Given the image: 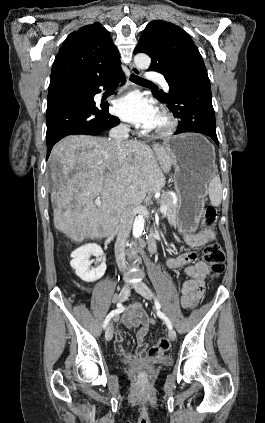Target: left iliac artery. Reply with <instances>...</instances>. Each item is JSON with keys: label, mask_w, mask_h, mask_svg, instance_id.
<instances>
[{"label": "left iliac artery", "mask_w": 265, "mask_h": 423, "mask_svg": "<svg viewBox=\"0 0 265 423\" xmlns=\"http://www.w3.org/2000/svg\"><path fill=\"white\" fill-rule=\"evenodd\" d=\"M155 306H156V309H157L158 316L166 323V325L169 329H172L173 328L172 323L168 319V317L163 312L160 311L161 306H160L159 302L157 301V299L155 301Z\"/></svg>", "instance_id": "left-iliac-artery-1"}]
</instances>
